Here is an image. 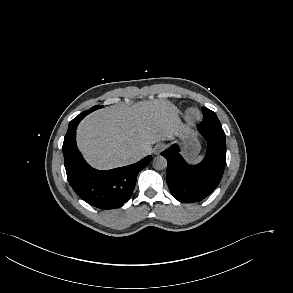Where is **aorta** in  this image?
<instances>
[{
    "label": "aorta",
    "mask_w": 293,
    "mask_h": 293,
    "mask_svg": "<svg viewBox=\"0 0 293 293\" xmlns=\"http://www.w3.org/2000/svg\"><path fill=\"white\" fill-rule=\"evenodd\" d=\"M153 167L156 169V170H163L167 167V160L165 157L163 156H157L154 158L153 160Z\"/></svg>",
    "instance_id": "762f6f07"
}]
</instances>
